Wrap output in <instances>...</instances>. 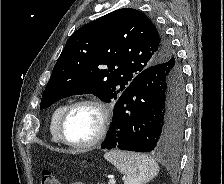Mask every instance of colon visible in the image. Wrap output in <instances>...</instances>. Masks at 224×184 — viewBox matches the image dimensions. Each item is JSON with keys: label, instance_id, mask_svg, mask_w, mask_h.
I'll return each instance as SVG.
<instances>
[{"label": "colon", "instance_id": "5ec220e1", "mask_svg": "<svg viewBox=\"0 0 224 184\" xmlns=\"http://www.w3.org/2000/svg\"><path fill=\"white\" fill-rule=\"evenodd\" d=\"M40 184H59L57 177L48 169L41 173Z\"/></svg>", "mask_w": 224, "mask_h": 184}]
</instances>
